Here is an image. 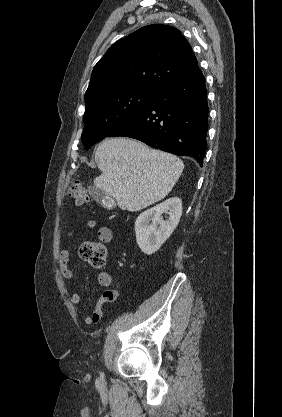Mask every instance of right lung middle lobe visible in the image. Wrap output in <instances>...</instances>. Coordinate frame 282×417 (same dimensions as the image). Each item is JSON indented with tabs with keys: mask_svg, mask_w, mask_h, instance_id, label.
<instances>
[{
	"mask_svg": "<svg viewBox=\"0 0 282 417\" xmlns=\"http://www.w3.org/2000/svg\"><path fill=\"white\" fill-rule=\"evenodd\" d=\"M156 90L128 88L86 99L82 143L86 150L144 108Z\"/></svg>",
	"mask_w": 282,
	"mask_h": 417,
	"instance_id": "dd1d6c3e",
	"label": "right lung middle lobe"
}]
</instances>
